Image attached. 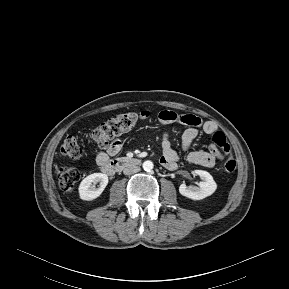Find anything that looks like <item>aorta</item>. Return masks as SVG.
<instances>
[{"label": "aorta", "mask_w": 289, "mask_h": 289, "mask_svg": "<svg viewBox=\"0 0 289 289\" xmlns=\"http://www.w3.org/2000/svg\"><path fill=\"white\" fill-rule=\"evenodd\" d=\"M153 166V162L150 160L144 161L142 165L143 169L147 172L151 171L153 169Z\"/></svg>", "instance_id": "1"}]
</instances>
